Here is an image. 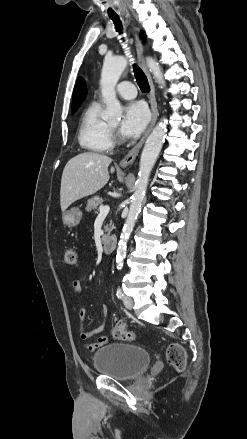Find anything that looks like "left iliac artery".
Wrapping results in <instances>:
<instances>
[{
  "instance_id": "obj_1",
  "label": "left iliac artery",
  "mask_w": 247,
  "mask_h": 439,
  "mask_svg": "<svg viewBox=\"0 0 247 439\" xmlns=\"http://www.w3.org/2000/svg\"><path fill=\"white\" fill-rule=\"evenodd\" d=\"M116 295H117L118 299H122L123 292H122L121 288H118Z\"/></svg>"
}]
</instances>
